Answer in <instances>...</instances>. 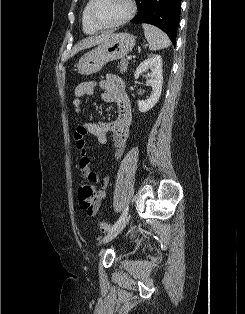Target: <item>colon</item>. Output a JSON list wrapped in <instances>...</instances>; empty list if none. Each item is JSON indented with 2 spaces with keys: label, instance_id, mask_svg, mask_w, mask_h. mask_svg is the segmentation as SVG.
Segmentation results:
<instances>
[{
  "label": "colon",
  "instance_id": "5ec220e1",
  "mask_svg": "<svg viewBox=\"0 0 245 314\" xmlns=\"http://www.w3.org/2000/svg\"><path fill=\"white\" fill-rule=\"evenodd\" d=\"M96 198L95 187L90 183H82L78 187V200L80 207L88 214L92 213ZM111 228V224L100 222L99 229L102 232H107Z\"/></svg>",
  "mask_w": 245,
  "mask_h": 314
}]
</instances>
